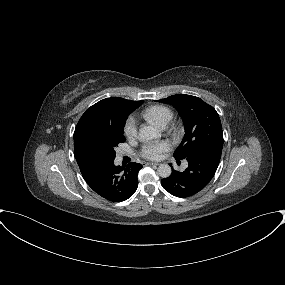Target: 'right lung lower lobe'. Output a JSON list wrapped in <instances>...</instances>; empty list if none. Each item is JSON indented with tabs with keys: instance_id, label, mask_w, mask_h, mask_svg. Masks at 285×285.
Wrapping results in <instances>:
<instances>
[{
	"instance_id": "1",
	"label": "right lung lower lobe",
	"mask_w": 285,
	"mask_h": 285,
	"mask_svg": "<svg viewBox=\"0 0 285 285\" xmlns=\"http://www.w3.org/2000/svg\"><path fill=\"white\" fill-rule=\"evenodd\" d=\"M86 183L101 197L120 202L130 198L138 187V172L141 164L130 163L126 168L112 162L84 164L79 167Z\"/></svg>"
}]
</instances>
